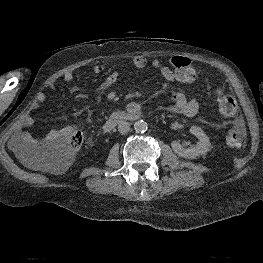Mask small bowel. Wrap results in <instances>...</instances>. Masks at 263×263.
Returning <instances> with one entry per match:
<instances>
[{"label": "small bowel", "mask_w": 263, "mask_h": 263, "mask_svg": "<svg viewBox=\"0 0 263 263\" xmlns=\"http://www.w3.org/2000/svg\"><path fill=\"white\" fill-rule=\"evenodd\" d=\"M147 61L143 57H135L133 59L132 65L135 69L141 70L146 68ZM151 68L154 69L160 76L166 80L173 81L176 80L172 67L169 63H164L160 60H153L150 64ZM104 67L101 64H96L92 67V72L94 74H101ZM120 73L118 71H113L106 76L102 85L101 91H106L112 87L119 79ZM73 80V75L71 73H66L63 76V82L68 84ZM53 85H50L52 87ZM71 92L79 97L84 98V95L77 89L72 88ZM45 93H39L37 96V101L42 102L45 99ZM199 105L196 100H188L182 91L174 92L170 95V103L165 107V110L172 114H180L188 117L195 116L198 112ZM33 120L30 116L23 119L22 130L19 135V140L26 146L34 150L42 149H56L63 145L69 134L74 130L72 127H62L52 129L45 137H34L26 131V129L31 126Z\"/></svg>", "instance_id": "obj_1"}]
</instances>
